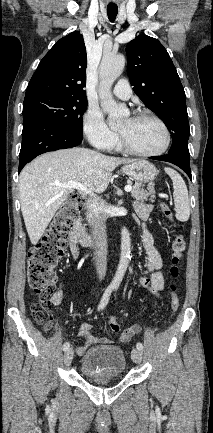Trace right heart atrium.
I'll list each match as a JSON object with an SVG mask.
<instances>
[{"label":"right heart atrium","mask_w":213,"mask_h":433,"mask_svg":"<svg viewBox=\"0 0 213 433\" xmlns=\"http://www.w3.org/2000/svg\"><path fill=\"white\" fill-rule=\"evenodd\" d=\"M83 133L98 149L108 150L116 143L117 135L105 123L100 112L88 109L83 118Z\"/></svg>","instance_id":"d8ad5b80"}]
</instances>
